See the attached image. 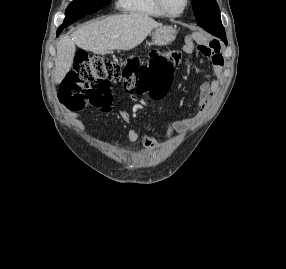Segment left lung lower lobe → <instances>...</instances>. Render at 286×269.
Here are the masks:
<instances>
[{
	"label": "left lung lower lobe",
	"instance_id": "left-lung-lower-lobe-1",
	"mask_svg": "<svg viewBox=\"0 0 286 269\" xmlns=\"http://www.w3.org/2000/svg\"><path fill=\"white\" fill-rule=\"evenodd\" d=\"M222 40H223L225 43H227L226 38H222Z\"/></svg>",
	"mask_w": 286,
	"mask_h": 269
}]
</instances>
